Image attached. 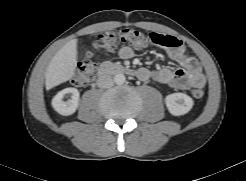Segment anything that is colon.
Segmentation results:
<instances>
[{"label":"colon","instance_id":"colon-1","mask_svg":"<svg viewBox=\"0 0 246 181\" xmlns=\"http://www.w3.org/2000/svg\"><path fill=\"white\" fill-rule=\"evenodd\" d=\"M149 43L162 48H176L181 42L171 35L159 33L145 34L135 28H125L121 30L106 31L99 34L93 42V49L96 51H112L118 46L127 44L137 50H143ZM95 69L96 62L94 60V53L89 52L87 54V59L80 62L77 66L73 79L74 85H87L92 80ZM204 94L205 92L201 87H196L191 91V95L194 99H201Z\"/></svg>","mask_w":246,"mask_h":181}]
</instances>
